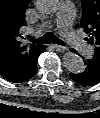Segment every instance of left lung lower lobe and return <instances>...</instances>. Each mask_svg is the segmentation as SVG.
Here are the masks:
<instances>
[{
    "label": "left lung lower lobe",
    "instance_id": "1",
    "mask_svg": "<svg viewBox=\"0 0 100 118\" xmlns=\"http://www.w3.org/2000/svg\"><path fill=\"white\" fill-rule=\"evenodd\" d=\"M86 68L81 73H70L69 76L75 82L82 85H95L100 82V57L93 55L92 58L84 60Z\"/></svg>",
    "mask_w": 100,
    "mask_h": 118
}]
</instances>
